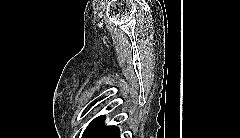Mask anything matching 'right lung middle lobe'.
<instances>
[{
	"instance_id": "obj_1",
	"label": "right lung middle lobe",
	"mask_w": 240,
	"mask_h": 138,
	"mask_svg": "<svg viewBox=\"0 0 240 138\" xmlns=\"http://www.w3.org/2000/svg\"><path fill=\"white\" fill-rule=\"evenodd\" d=\"M105 120V116H100L97 117L96 119H94L86 128V130L83 133V138H87L88 135L99 125H101L103 123V121Z\"/></svg>"
}]
</instances>
